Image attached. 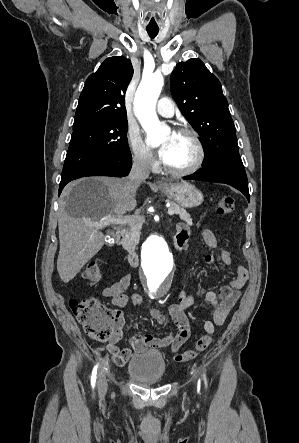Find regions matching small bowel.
I'll return each instance as SVG.
<instances>
[{
	"label": "small bowel",
	"mask_w": 299,
	"mask_h": 443,
	"mask_svg": "<svg viewBox=\"0 0 299 443\" xmlns=\"http://www.w3.org/2000/svg\"><path fill=\"white\" fill-rule=\"evenodd\" d=\"M176 231L175 239L184 241L187 244L190 237L189 226L184 222H179L176 226ZM202 237L210 250L219 249L216 235L212 230H204ZM205 260L208 263H212L214 258L211 255H206ZM220 260L225 267L232 265V256L227 250H220ZM248 279V270L244 266L238 265L236 268V276L228 285L222 286L218 292H206L205 300L213 309L211 320H207L204 323V329L207 333H214L215 326H222L226 322L227 317L239 300L241 289L245 286ZM131 282L132 276L126 274L102 291V295L109 298L112 305L117 308L114 310L117 315L114 336L107 345V351L118 365L124 364L131 357L132 351L140 352L147 348L158 349L170 347L172 352H176L187 343L190 337V326L186 312L188 308L193 305L194 297L185 291H181L178 296V301L168 308L169 316L175 326L174 329L163 337H154L149 334L132 337L130 339V348H120L118 342L123 336V326L127 314L118 308H124L128 303L133 306H138L143 301L142 295L139 293H133L130 297L126 295L125 291ZM151 315L160 325H164L167 321L166 316L158 309H153Z\"/></svg>",
	"instance_id": "1"
}]
</instances>
